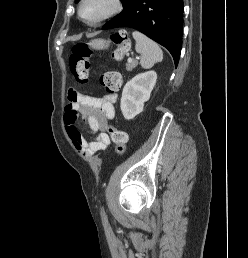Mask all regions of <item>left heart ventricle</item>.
I'll list each match as a JSON object with an SVG mask.
<instances>
[{
  "mask_svg": "<svg viewBox=\"0 0 248 258\" xmlns=\"http://www.w3.org/2000/svg\"><path fill=\"white\" fill-rule=\"evenodd\" d=\"M112 5V0H87L83 14L88 20H94L106 13Z\"/></svg>",
  "mask_w": 248,
  "mask_h": 258,
  "instance_id": "1",
  "label": "left heart ventricle"
}]
</instances>
